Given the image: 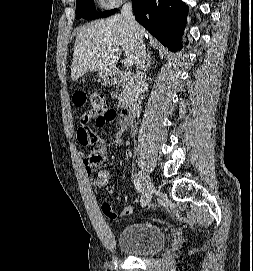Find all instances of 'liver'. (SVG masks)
Wrapping results in <instances>:
<instances>
[{"label": "liver", "mask_w": 253, "mask_h": 271, "mask_svg": "<svg viewBox=\"0 0 253 271\" xmlns=\"http://www.w3.org/2000/svg\"><path fill=\"white\" fill-rule=\"evenodd\" d=\"M119 47H122L126 59L137 63L139 41L122 15H113L81 27L74 45L71 79L76 81L88 71L111 72L118 62V55L107 49Z\"/></svg>", "instance_id": "1"}]
</instances>
